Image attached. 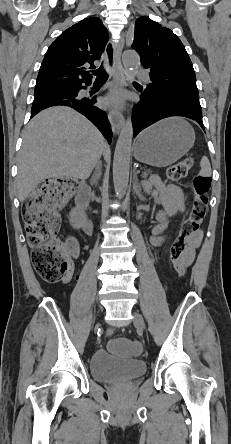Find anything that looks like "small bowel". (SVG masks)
Segmentation results:
<instances>
[{
    "mask_svg": "<svg viewBox=\"0 0 231 444\" xmlns=\"http://www.w3.org/2000/svg\"><path fill=\"white\" fill-rule=\"evenodd\" d=\"M150 188L157 198L158 203L162 207L159 213V221L154 228V236L152 244L159 246L162 243L160 234L167 225V217L183 212L185 210L184 197L181 189L175 185H164L159 179L154 178L150 183ZM202 238V232L198 231L189 241L188 248L185 251L182 261L186 266L193 263L196 250L198 249ZM65 247L70 254L76 256L79 252L78 243L75 238L69 237L65 243ZM72 277V271L69 270L63 279V283L68 282Z\"/></svg>",
    "mask_w": 231,
    "mask_h": 444,
    "instance_id": "c3829d8e",
    "label": "small bowel"
}]
</instances>
